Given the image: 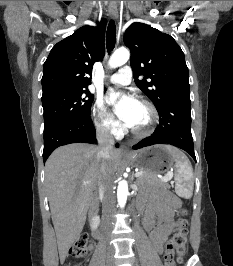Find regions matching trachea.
<instances>
[{"label":"trachea","mask_w":233,"mask_h":266,"mask_svg":"<svg viewBox=\"0 0 233 266\" xmlns=\"http://www.w3.org/2000/svg\"><path fill=\"white\" fill-rule=\"evenodd\" d=\"M116 42V26L113 20H110L107 28L106 45L108 51L113 50Z\"/></svg>","instance_id":"obj_1"}]
</instances>
